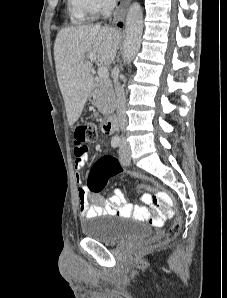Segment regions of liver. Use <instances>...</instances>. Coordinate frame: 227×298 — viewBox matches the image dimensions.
<instances>
[{
    "mask_svg": "<svg viewBox=\"0 0 227 298\" xmlns=\"http://www.w3.org/2000/svg\"><path fill=\"white\" fill-rule=\"evenodd\" d=\"M120 39L117 29L100 25H79L58 32L54 43L55 67L70 126L79 119L94 85L92 63L85 54L94 53L99 65L109 66Z\"/></svg>",
    "mask_w": 227,
    "mask_h": 298,
    "instance_id": "6515ba94",
    "label": "liver"
}]
</instances>
